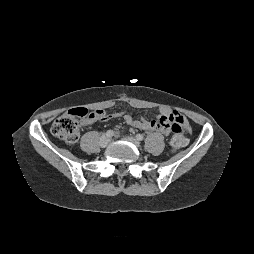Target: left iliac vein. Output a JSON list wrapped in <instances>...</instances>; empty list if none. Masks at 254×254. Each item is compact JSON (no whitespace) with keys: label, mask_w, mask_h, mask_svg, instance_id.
Here are the masks:
<instances>
[{"label":"left iliac vein","mask_w":254,"mask_h":254,"mask_svg":"<svg viewBox=\"0 0 254 254\" xmlns=\"http://www.w3.org/2000/svg\"><path fill=\"white\" fill-rule=\"evenodd\" d=\"M125 140L131 142L132 144H134L136 147L140 146V143L137 139H135L134 137H126Z\"/></svg>","instance_id":"obj_1"}]
</instances>
